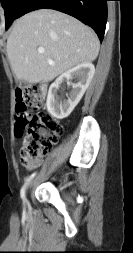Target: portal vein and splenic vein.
Segmentation results:
<instances>
[{"label":"portal vein and splenic vein","instance_id":"1","mask_svg":"<svg viewBox=\"0 0 133 253\" xmlns=\"http://www.w3.org/2000/svg\"><path fill=\"white\" fill-rule=\"evenodd\" d=\"M44 52H45L44 48H42V47H39V48H38V53H44ZM48 62H49V64H51V65L54 64V61H53L52 59H48Z\"/></svg>","mask_w":133,"mask_h":253}]
</instances>
